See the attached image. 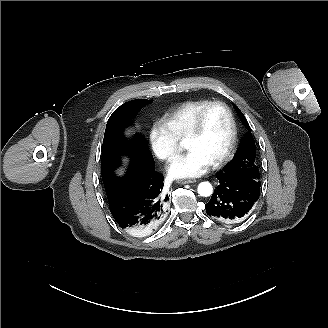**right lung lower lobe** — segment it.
<instances>
[{"mask_svg": "<svg viewBox=\"0 0 328 328\" xmlns=\"http://www.w3.org/2000/svg\"><path fill=\"white\" fill-rule=\"evenodd\" d=\"M163 181V175L155 171L152 163L148 170L131 174L114 187L107 197L110 211L121 228L134 230L141 236L163 218L169 200Z\"/></svg>", "mask_w": 328, "mask_h": 328, "instance_id": "right-lung-lower-lobe-1", "label": "right lung lower lobe"}]
</instances>
